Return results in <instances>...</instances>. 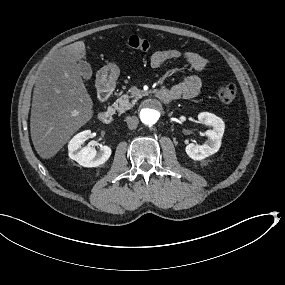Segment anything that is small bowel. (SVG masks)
Instances as JSON below:
<instances>
[{
	"instance_id": "obj_1",
	"label": "small bowel",
	"mask_w": 285,
	"mask_h": 285,
	"mask_svg": "<svg viewBox=\"0 0 285 285\" xmlns=\"http://www.w3.org/2000/svg\"><path fill=\"white\" fill-rule=\"evenodd\" d=\"M169 60H183L188 66L199 73L188 75L180 83L169 89L173 93L174 99H193L197 97L202 89L203 81L201 75L208 66L207 59L192 51L165 49L155 51L151 55L150 65L153 68H159Z\"/></svg>"
}]
</instances>
